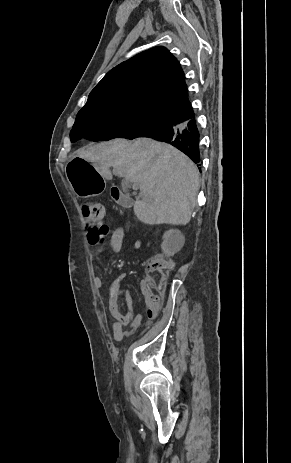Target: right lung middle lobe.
<instances>
[{"label": "right lung middle lobe", "mask_w": 291, "mask_h": 463, "mask_svg": "<svg viewBox=\"0 0 291 463\" xmlns=\"http://www.w3.org/2000/svg\"><path fill=\"white\" fill-rule=\"evenodd\" d=\"M166 124L165 118L141 110L81 109L70 133L77 140L135 139Z\"/></svg>", "instance_id": "1"}]
</instances>
